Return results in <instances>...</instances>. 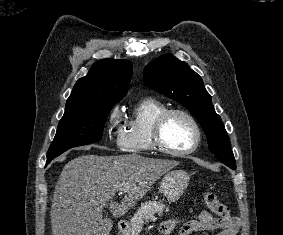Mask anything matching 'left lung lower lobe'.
<instances>
[{"label": "left lung lower lobe", "mask_w": 283, "mask_h": 235, "mask_svg": "<svg viewBox=\"0 0 283 235\" xmlns=\"http://www.w3.org/2000/svg\"><path fill=\"white\" fill-rule=\"evenodd\" d=\"M218 160H220L223 164L228 166L229 168L235 170L236 169V163L235 158L233 156H225V155H215Z\"/></svg>", "instance_id": "left-lung-lower-lobe-1"}]
</instances>
